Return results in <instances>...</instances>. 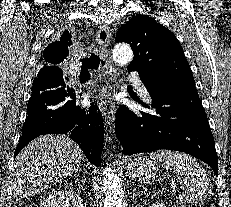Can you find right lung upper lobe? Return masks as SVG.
Segmentation results:
<instances>
[{"label":"right lung upper lobe","instance_id":"obj_1","mask_svg":"<svg viewBox=\"0 0 231 207\" xmlns=\"http://www.w3.org/2000/svg\"><path fill=\"white\" fill-rule=\"evenodd\" d=\"M68 40L65 36L61 37V41L53 42L49 44L41 56V61L43 63H49V64H58L62 62L69 54L68 46L71 44V42H68ZM44 67H56V66H44ZM43 67V68H44Z\"/></svg>","mask_w":231,"mask_h":207}]
</instances>
